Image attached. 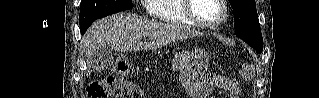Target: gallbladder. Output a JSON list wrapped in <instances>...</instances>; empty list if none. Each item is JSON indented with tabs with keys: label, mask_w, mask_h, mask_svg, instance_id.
<instances>
[{
	"label": "gallbladder",
	"mask_w": 319,
	"mask_h": 98,
	"mask_svg": "<svg viewBox=\"0 0 319 98\" xmlns=\"http://www.w3.org/2000/svg\"><path fill=\"white\" fill-rule=\"evenodd\" d=\"M92 67L97 71H104L113 65L114 57L110 49L100 48L91 56Z\"/></svg>",
	"instance_id": "gallbladder-1"
}]
</instances>
